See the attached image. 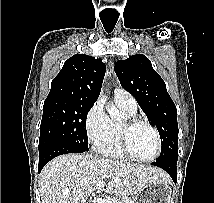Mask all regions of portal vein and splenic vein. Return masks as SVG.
I'll use <instances>...</instances> for the list:
<instances>
[{
    "mask_svg": "<svg viewBox=\"0 0 214 203\" xmlns=\"http://www.w3.org/2000/svg\"><path fill=\"white\" fill-rule=\"evenodd\" d=\"M105 186V182L102 181V182H99L96 186H95V189H101ZM70 193L69 190H63V194H68ZM94 203H115L114 200H109V199H104V198H94Z\"/></svg>",
    "mask_w": 214,
    "mask_h": 203,
    "instance_id": "1",
    "label": "portal vein and splenic vein"
}]
</instances>
